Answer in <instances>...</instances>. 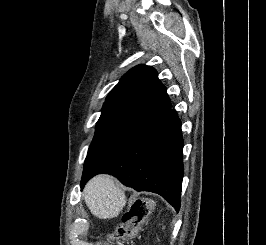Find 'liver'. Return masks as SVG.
Returning <instances> with one entry per match:
<instances>
[{
	"mask_svg": "<svg viewBox=\"0 0 266 245\" xmlns=\"http://www.w3.org/2000/svg\"><path fill=\"white\" fill-rule=\"evenodd\" d=\"M83 195L89 211L98 219H114L126 205L121 185H116L109 175L93 177L85 185Z\"/></svg>",
	"mask_w": 266,
	"mask_h": 245,
	"instance_id": "liver-1",
	"label": "liver"
}]
</instances>
